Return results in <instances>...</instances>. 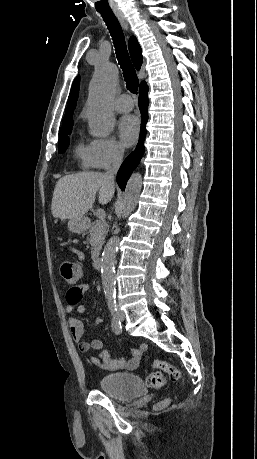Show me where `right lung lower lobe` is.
Listing matches in <instances>:
<instances>
[{
    "mask_svg": "<svg viewBox=\"0 0 257 459\" xmlns=\"http://www.w3.org/2000/svg\"><path fill=\"white\" fill-rule=\"evenodd\" d=\"M148 86L145 82H142L139 87V108L142 116L141 131L139 137V143L135 150L124 160L118 173L117 183L122 191L125 190L127 180L132 174L133 170L139 164L144 154V139L146 135L145 125L148 120Z\"/></svg>",
    "mask_w": 257,
    "mask_h": 459,
    "instance_id": "1",
    "label": "right lung lower lobe"
}]
</instances>
